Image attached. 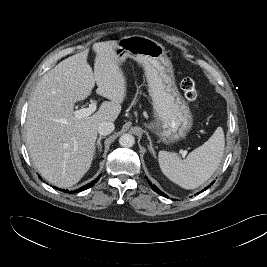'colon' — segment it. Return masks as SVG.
Returning a JSON list of instances; mask_svg holds the SVG:
<instances>
[{"instance_id": "obj_1", "label": "colon", "mask_w": 267, "mask_h": 267, "mask_svg": "<svg viewBox=\"0 0 267 267\" xmlns=\"http://www.w3.org/2000/svg\"><path fill=\"white\" fill-rule=\"evenodd\" d=\"M181 89L183 91L185 98L188 101L192 103L196 102L197 97H198V91H197L196 83L191 77L187 76L182 80Z\"/></svg>"}]
</instances>
